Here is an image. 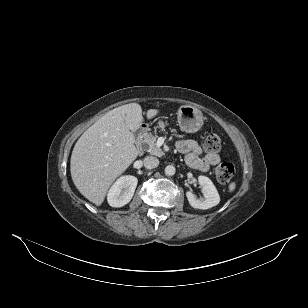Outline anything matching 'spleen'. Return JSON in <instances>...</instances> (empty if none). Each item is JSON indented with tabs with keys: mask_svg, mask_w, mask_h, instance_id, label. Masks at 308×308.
Segmentation results:
<instances>
[{
	"mask_svg": "<svg viewBox=\"0 0 308 308\" xmlns=\"http://www.w3.org/2000/svg\"><path fill=\"white\" fill-rule=\"evenodd\" d=\"M229 192H233L236 189V184L235 183H230L228 186Z\"/></svg>",
	"mask_w": 308,
	"mask_h": 308,
	"instance_id": "1",
	"label": "spleen"
}]
</instances>
